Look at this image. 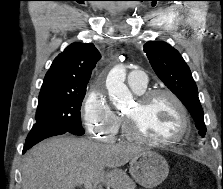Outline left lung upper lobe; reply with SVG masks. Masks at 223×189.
Wrapping results in <instances>:
<instances>
[{"instance_id": "left-lung-upper-lobe-1", "label": "left lung upper lobe", "mask_w": 223, "mask_h": 189, "mask_svg": "<svg viewBox=\"0 0 223 189\" xmlns=\"http://www.w3.org/2000/svg\"><path fill=\"white\" fill-rule=\"evenodd\" d=\"M152 68L192 115L201 136L205 135L204 113L191 71L179 52L163 41L144 44Z\"/></svg>"}]
</instances>
